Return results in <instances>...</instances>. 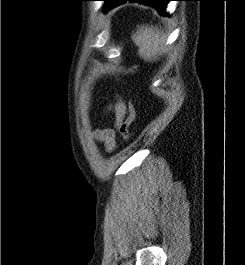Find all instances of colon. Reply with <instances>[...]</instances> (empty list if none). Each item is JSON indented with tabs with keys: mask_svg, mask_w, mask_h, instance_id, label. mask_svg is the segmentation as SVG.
Wrapping results in <instances>:
<instances>
[{
	"mask_svg": "<svg viewBox=\"0 0 245 265\" xmlns=\"http://www.w3.org/2000/svg\"><path fill=\"white\" fill-rule=\"evenodd\" d=\"M136 117V112L132 104L128 105V115L126 119H124L119 127L118 130L123 137L124 140H129L131 138V125L134 123Z\"/></svg>",
	"mask_w": 245,
	"mask_h": 265,
	"instance_id": "obj_1",
	"label": "colon"
}]
</instances>
